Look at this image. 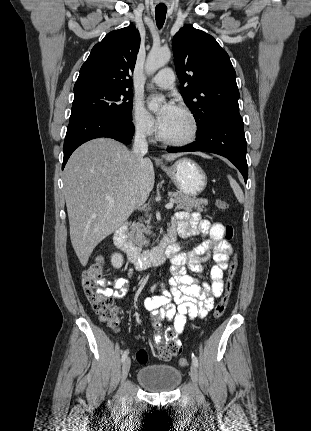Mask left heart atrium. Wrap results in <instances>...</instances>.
<instances>
[{
	"label": "left heart atrium",
	"mask_w": 311,
	"mask_h": 431,
	"mask_svg": "<svg viewBox=\"0 0 311 431\" xmlns=\"http://www.w3.org/2000/svg\"><path fill=\"white\" fill-rule=\"evenodd\" d=\"M179 110L180 108L176 100H168L157 114V120L160 128L166 125Z\"/></svg>",
	"instance_id": "left-heart-atrium-1"
}]
</instances>
